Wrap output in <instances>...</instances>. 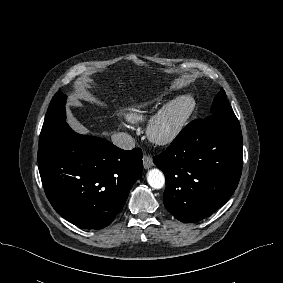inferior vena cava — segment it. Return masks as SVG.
<instances>
[{
	"label": "inferior vena cava",
	"mask_w": 283,
	"mask_h": 283,
	"mask_svg": "<svg viewBox=\"0 0 283 283\" xmlns=\"http://www.w3.org/2000/svg\"><path fill=\"white\" fill-rule=\"evenodd\" d=\"M111 140L114 145L124 150H131L135 147V140L128 133L119 132L113 134Z\"/></svg>",
	"instance_id": "602c4592"
}]
</instances>
